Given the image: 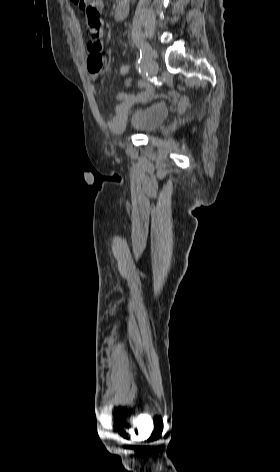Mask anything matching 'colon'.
<instances>
[{"label": "colon", "mask_w": 280, "mask_h": 472, "mask_svg": "<svg viewBox=\"0 0 280 472\" xmlns=\"http://www.w3.org/2000/svg\"><path fill=\"white\" fill-rule=\"evenodd\" d=\"M86 15L87 20L93 23L100 21V2L99 0H71ZM118 72L122 76H130L131 69L127 64H121Z\"/></svg>", "instance_id": "1"}]
</instances>
